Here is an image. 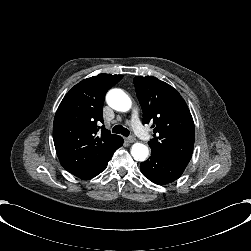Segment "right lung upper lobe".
<instances>
[{
    "label": "right lung upper lobe",
    "mask_w": 251,
    "mask_h": 251,
    "mask_svg": "<svg viewBox=\"0 0 251 251\" xmlns=\"http://www.w3.org/2000/svg\"><path fill=\"white\" fill-rule=\"evenodd\" d=\"M122 75L99 74L75 85L60 103L53 124V140L61 165L80 179L102 171L123 138L104 126L102 108L106 92Z\"/></svg>",
    "instance_id": "cb5924a9"
}]
</instances>
